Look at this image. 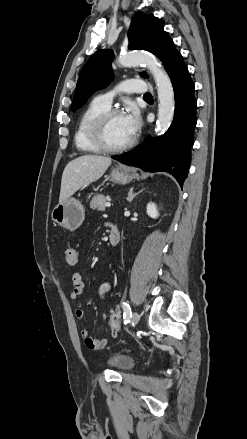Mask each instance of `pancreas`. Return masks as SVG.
<instances>
[{"label": "pancreas", "mask_w": 247, "mask_h": 439, "mask_svg": "<svg viewBox=\"0 0 247 439\" xmlns=\"http://www.w3.org/2000/svg\"><path fill=\"white\" fill-rule=\"evenodd\" d=\"M106 198L103 194L95 195L94 198L90 202V208L96 209L98 211L105 210Z\"/></svg>", "instance_id": "cf45deb5"}]
</instances>
